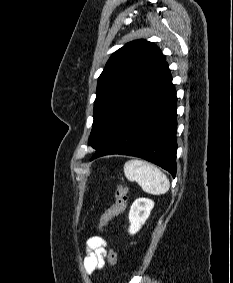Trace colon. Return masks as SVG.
Segmentation results:
<instances>
[{"label":"colon","mask_w":233,"mask_h":283,"mask_svg":"<svg viewBox=\"0 0 233 283\" xmlns=\"http://www.w3.org/2000/svg\"><path fill=\"white\" fill-rule=\"evenodd\" d=\"M128 200V191L127 188L122 184L118 183L115 186V202L109 207L101 216L99 227L103 230L106 225L112 220L114 217L120 215L127 204ZM108 262L111 266H116L117 264V255L113 249L109 248L107 252Z\"/></svg>","instance_id":"1"}]
</instances>
